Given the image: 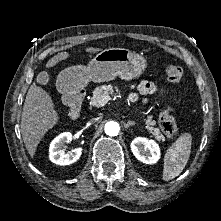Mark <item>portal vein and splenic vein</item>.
Wrapping results in <instances>:
<instances>
[{
  "label": "portal vein and splenic vein",
  "mask_w": 221,
  "mask_h": 221,
  "mask_svg": "<svg viewBox=\"0 0 221 221\" xmlns=\"http://www.w3.org/2000/svg\"><path fill=\"white\" fill-rule=\"evenodd\" d=\"M110 100L111 97L109 95H103L102 98L99 100V103L103 106Z\"/></svg>",
  "instance_id": "obj_1"
}]
</instances>
